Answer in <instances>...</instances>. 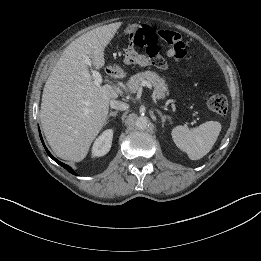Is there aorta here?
Here are the masks:
<instances>
[{"label": "aorta", "mask_w": 261, "mask_h": 261, "mask_svg": "<svg viewBox=\"0 0 261 261\" xmlns=\"http://www.w3.org/2000/svg\"><path fill=\"white\" fill-rule=\"evenodd\" d=\"M149 119L146 116H139L135 121V126L138 130H145L148 126Z\"/></svg>", "instance_id": "1"}]
</instances>
